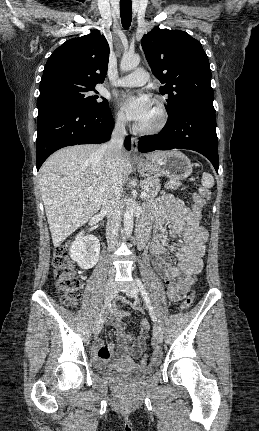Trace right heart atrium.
<instances>
[{"label":"right heart atrium","mask_w":259,"mask_h":431,"mask_svg":"<svg viewBox=\"0 0 259 431\" xmlns=\"http://www.w3.org/2000/svg\"><path fill=\"white\" fill-rule=\"evenodd\" d=\"M114 120L115 124L119 127H123L126 124L125 116L120 111L116 112Z\"/></svg>","instance_id":"1"}]
</instances>
